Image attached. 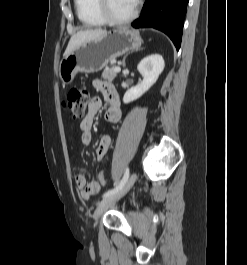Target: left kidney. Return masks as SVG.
<instances>
[{
  "label": "left kidney",
  "instance_id": "left-kidney-1",
  "mask_svg": "<svg viewBox=\"0 0 247 265\" xmlns=\"http://www.w3.org/2000/svg\"><path fill=\"white\" fill-rule=\"evenodd\" d=\"M164 59L159 54H153L145 57L137 66L143 80L136 86L126 91L123 97L125 104L130 103L141 97L157 81L159 75L164 69Z\"/></svg>",
  "mask_w": 247,
  "mask_h": 265
}]
</instances>
